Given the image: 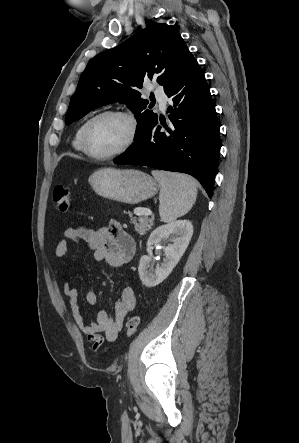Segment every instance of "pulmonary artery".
Here are the masks:
<instances>
[{
	"label": "pulmonary artery",
	"instance_id": "obj_1",
	"mask_svg": "<svg viewBox=\"0 0 299 443\" xmlns=\"http://www.w3.org/2000/svg\"><path fill=\"white\" fill-rule=\"evenodd\" d=\"M154 95L157 98V100L159 101L160 108L164 111L166 109V105H167V101H168L166 94L164 93V91L161 88H156L154 90Z\"/></svg>",
	"mask_w": 299,
	"mask_h": 443
}]
</instances>
